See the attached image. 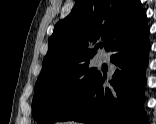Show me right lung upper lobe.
Here are the masks:
<instances>
[{
  "label": "right lung upper lobe",
  "mask_w": 156,
  "mask_h": 124,
  "mask_svg": "<svg viewBox=\"0 0 156 124\" xmlns=\"http://www.w3.org/2000/svg\"><path fill=\"white\" fill-rule=\"evenodd\" d=\"M146 26L140 0H77L48 39L49 49L38 79L89 61L101 46L99 40L108 49L124 33Z\"/></svg>",
  "instance_id": "obj_1"
}]
</instances>
